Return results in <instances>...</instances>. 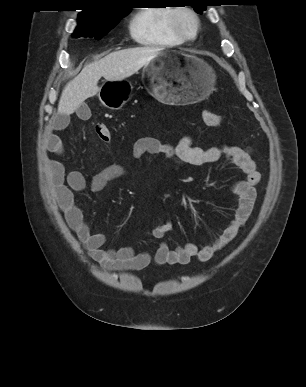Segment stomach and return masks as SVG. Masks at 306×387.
<instances>
[{"instance_id":"obj_1","label":"stomach","mask_w":306,"mask_h":387,"mask_svg":"<svg viewBox=\"0 0 306 387\" xmlns=\"http://www.w3.org/2000/svg\"><path fill=\"white\" fill-rule=\"evenodd\" d=\"M142 78L150 93L166 108H189L211 93L215 84L213 69L194 55L167 46L144 65ZM128 94L124 82H108L99 91L100 101L111 109H120Z\"/></svg>"}]
</instances>
